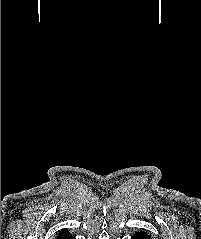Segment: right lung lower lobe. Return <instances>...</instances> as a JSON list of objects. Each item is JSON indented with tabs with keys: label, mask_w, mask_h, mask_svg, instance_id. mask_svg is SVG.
Listing matches in <instances>:
<instances>
[{
	"label": "right lung lower lobe",
	"mask_w": 201,
	"mask_h": 239,
	"mask_svg": "<svg viewBox=\"0 0 201 239\" xmlns=\"http://www.w3.org/2000/svg\"><path fill=\"white\" fill-rule=\"evenodd\" d=\"M58 238H60V239H73L72 235H69V236H66V237H58Z\"/></svg>",
	"instance_id": "98d812e1"
}]
</instances>
